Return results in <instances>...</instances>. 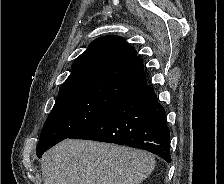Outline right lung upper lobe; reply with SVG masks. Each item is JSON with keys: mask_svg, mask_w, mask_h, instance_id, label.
Segmentation results:
<instances>
[{"mask_svg": "<svg viewBox=\"0 0 224 184\" xmlns=\"http://www.w3.org/2000/svg\"><path fill=\"white\" fill-rule=\"evenodd\" d=\"M142 60L124 38L102 36L91 42L87 50L72 64V72L59 93L73 86L106 81L129 86L131 89L145 84Z\"/></svg>", "mask_w": 224, "mask_h": 184, "instance_id": "1", "label": "right lung upper lobe"}]
</instances>
